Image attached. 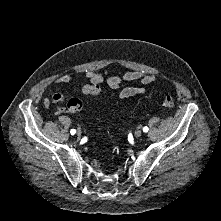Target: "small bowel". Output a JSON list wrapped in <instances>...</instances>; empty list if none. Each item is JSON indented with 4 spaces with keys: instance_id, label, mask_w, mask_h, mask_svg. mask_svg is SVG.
Here are the masks:
<instances>
[{
    "instance_id": "1",
    "label": "small bowel",
    "mask_w": 221,
    "mask_h": 221,
    "mask_svg": "<svg viewBox=\"0 0 221 221\" xmlns=\"http://www.w3.org/2000/svg\"><path fill=\"white\" fill-rule=\"evenodd\" d=\"M85 78L89 84H101L104 80L103 75L100 72L88 70L85 73ZM74 79V76L70 73H64L57 76L54 79V84H67ZM156 77L144 71H130L125 73L123 76H110L107 78L106 83L112 89H119V98L127 99L139 94H145L146 89L141 86H130L126 85V82H137L141 85H148L153 83ZM88 85V84H87ZM67 98L60 92L50 94L44 99V107L49 108L51 105H58L65 101ZM69 101V100H68ZM64 112V108L56 106L55 114L60 115Z\"/></svg>"
}]
</instances>
